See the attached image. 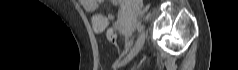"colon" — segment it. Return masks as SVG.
<instances>
[{
  "label": "colon",
  "instance_id": "5ec220e1",
  "mask_svg": "<svg viewBox=\"0 0 238 70\" xmlns=\"http://www.w3.org/2000/svg\"><path fill=\"white\" fill-rule=\"evenodd\" d=\"M107 38L110 42H116L117 33H116V28L115 27H111L107 30Z\"/></svg>",
  "mask_w": 238,
  "mask_h": 70
}]
</instances>
